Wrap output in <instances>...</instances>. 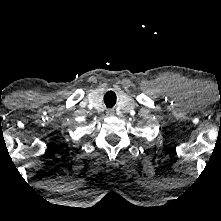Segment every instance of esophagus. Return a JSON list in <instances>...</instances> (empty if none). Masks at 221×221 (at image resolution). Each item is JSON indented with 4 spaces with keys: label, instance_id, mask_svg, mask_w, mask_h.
Instances as JSON below:
<instances>
[{
    "label": "esophagus",
    "instance_id": "esophagus-1",
    "mask_svg": "<svg viewBox=\"0 0 221 221\" xmlns=\"http://www.w3.org/2000/svg\"><path fill=\"white\" fill-rule=\"evenodd\" d=\"M107 114H108V115H112V114H114V111L111 110V109H109V110L107 111Z\"/></svg>",
    "mask_w": 221,
    "mask_h": 221
}]
</instances>
